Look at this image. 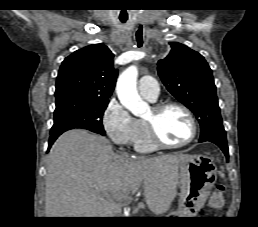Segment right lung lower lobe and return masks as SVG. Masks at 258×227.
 I'll return each instance as SVG.
<instances>
[{
  "label": "right lung lower lobe",
  "instance_id": "obj_1",
  "mask_svg": "<svg viewBox=\"0 0 258 227\" xmlns=\"http://www.w3.org/2000/svg\"><path fill=\"white\" fill-rule=\"evenodd\" d=\"M70 129H73V128L70 126L61 125V124L53 125L51 132H50L48 150L50 149V147L52 146V144L58 138L59 135H61L63 132L70 130Z\"/></svg>",
  "mask_w": 258,
  "mask_h": 227
}]
</instances>
